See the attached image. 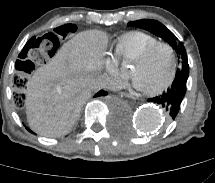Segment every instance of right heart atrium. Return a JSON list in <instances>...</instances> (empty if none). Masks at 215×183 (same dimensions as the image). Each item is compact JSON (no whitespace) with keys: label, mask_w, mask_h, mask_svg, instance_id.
<instances>
[{"label":"right heart atrium","mask_w":215,"mask_h":183,"mask_svg":"<svg viewBox=\"0 0 215 183\" xmlns=\"http://www.w3.org/2000/svg\"><path fill=\"white\" fill-rule=\"evenodd\" d=\"M106 67L108 72L112 74L118 82H122L123 77L120 72V63L117 57L115 56L110 57L106 61Z\"/></svg>","instance_id":"d8ad5b80"}]
</instances>
